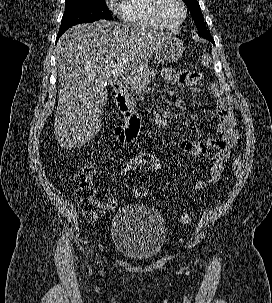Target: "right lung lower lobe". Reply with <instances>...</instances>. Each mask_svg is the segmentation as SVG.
<instances>
[{"mask_svg":"<svg viewBox=\"0 0 272 303\" xmlns=\"http://www.w3.org/2000/svg\"><path fill=\"white\" fill-rule=\"evenodd\" d=\"M63 33H58V35H57V40L59 39V37L62 35ZM57 40H56V42H57Z\"/></svg>","mask_w":272,"mask_h":303,"instance_id":"98d812e1","label":"right lung lower lobe"}]
</instances>
